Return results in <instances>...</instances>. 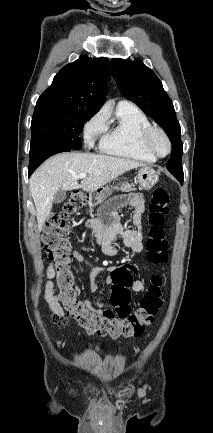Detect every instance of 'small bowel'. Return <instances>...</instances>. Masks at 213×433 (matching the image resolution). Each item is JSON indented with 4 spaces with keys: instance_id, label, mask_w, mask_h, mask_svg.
Returning a JSON list of instances; mask_svg holds the SVG:
<instances>
[{
    "instance_id": "obj_1",
    "label": "small bowel",
    "mask_w": 213,
    "mask_h": 433,
    "mask_svg": "<svg viewBox=\"0 0 213 433\" xmlns=\"http://www.w3.org/2000/svg\"><path fill=\"white\" fill-rule=\"evenodd\" d=\"M130 206L134 212L132 215V228H125L119 218V214L116 211L117 207ZM145 211L144 197L142 194L134 193L129 195L125 200L116 201L112 207L103 212L98 219H90L86 222L85 227L89 228L93 232L95 242L100 245L104 255L108 257H115L118 255L119 250L113 244L116 238H121L122 243L125 247L130 249L133 253H141L144 250L143 246V231H142V216ZM71 261L77 263H84L91 269L90 274V289L95 292L98 289L97 277L101 274H106V283L112 284L111 275L112 272L117 268L109 264L108 261H104L101 265L95 264L90 261L83 253L79 251H72L70 253ZM128 266L133 275L137 273V268L134 265ZM56 271L53 265L49 266L46 270V283L44 285V298L51 310L56 316H64L65 311L60 304L59 298L55 293V284L53 279L56 278ZM145 288V283L141 279L133 280L130 289L133 292H141ZM79 291V287H76ZM85 304L93 308L98 312L111 311L112 306L103 302L101 298H98L93 304L91 299H86Z\"/></svg>"
}]
</instances>
